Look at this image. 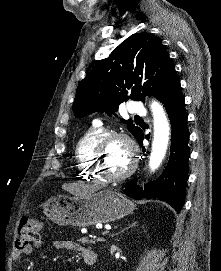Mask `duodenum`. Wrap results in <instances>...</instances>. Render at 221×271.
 <instances>
[{"label": "duodenum", "mask_w": 221, "mask_h": 271, "mask_svg": "<svg viewBox=\"0 0 221 271\" xmlns=\"http://www.w3.org/2000/svg\"><path fill=\"white\" fill-rule=\"evenodd\" d=\"M96 259H97L96 254H92V255L87 256V257L84 259V261H85L87 264L91 265V264H94V263L96 262Z\"/></svg>", "instance_id": "1"}]
</instances>
